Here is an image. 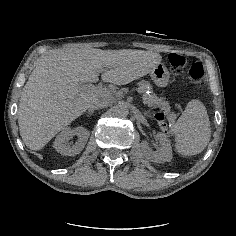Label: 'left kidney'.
Here are the masks:
<instances>
[{"instance_id":"1","label":"left kidney","mask_w":236,"mask_h":236,"mask_svg":"<svg viewBox=\"0 0 236 236\" xmlns=\"http://www.w3.org/2000/svg\"><path fill=\"white\" fill-rule=\"evenodd\" d=\"M157 138L159 139L161 144V147L157 151H152L146 141H143L141 143V149L145 155V158L156 163L171 161L172 149L166 135L163 133H158Z\"/></svg>"}]
</instances>
